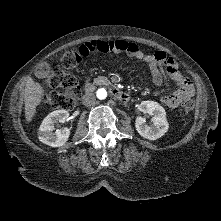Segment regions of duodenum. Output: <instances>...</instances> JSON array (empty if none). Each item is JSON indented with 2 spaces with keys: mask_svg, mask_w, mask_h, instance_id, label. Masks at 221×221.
Wrapping results in <instances>:
<instances>
[{
  "mask_svg": "<svg viewBox=\"0 0 221 221\" xmlns=\"http://www.w3.org/2000/svg\"><path fill=\"white\" fill-rule=\"evenodd\" d=\"M106 86L108 87L111 94L119 101L126 103L130 100V95L127 92H124L109 83H107ZM93 89H94V86L92 84H87L85 86V93L88 94V93L92 92Z\"/></svg>",
  "mask_w": 221,
  "mask_h": 221,
  "instance_id": "duodenum-1",
  "label": "duodenum"
}]
</instances>
